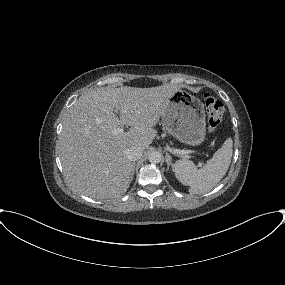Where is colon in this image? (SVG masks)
<instances>
[{"mask_svg":"<svg viewBox=\"0 0 285 285\" xmlns=\"http://www.w3.org/2000/svg\"><path fill=\"white\" fill-rule=\"evenodd\" d=\"M203 103L207 115V129L209 132H214L219 128L222 122L223 104L217 97L210 93L203 95Z\"/></svg>","mask_w":285,"mask_h":285,"instance_id":"1","label":"colon"}]
</instances>
